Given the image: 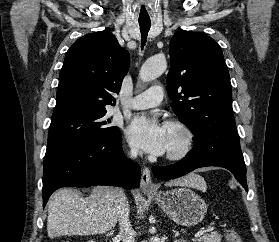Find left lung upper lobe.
<instances>
[{"label": "left lung upper lobe", "mask_w": 279, "mask_h": 242, "mask_svg": "<svg viewBox=\"0 0 279 242\" xmlns=\"http://www.w3.org/2000/svg\"><path fill=\"white\" fill-rule=\"evenodd\" d=\"M170 62L171 107L196 138L186 156L225 157L244 163L221 47L205 34L179 31L170 41Z\"/></svg>", "instance_id": "obj_1"}]
</instances>
